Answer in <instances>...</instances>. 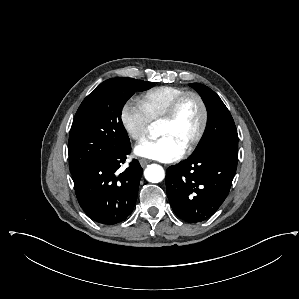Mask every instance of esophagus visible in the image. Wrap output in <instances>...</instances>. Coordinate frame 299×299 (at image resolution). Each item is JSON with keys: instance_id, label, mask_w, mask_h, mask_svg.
Instances as JSON below:
<instances>
[{"instance_id": "34e87169", "label": "esophagus", "mask_w": 299, "mask_h": 299, "mask_svg": "<svg viewBox=\"0 0 299 299\" xmlns=\"http://www.w3.org/2000/svg\"><path fill=\"white\" fill-rule=\"evenodd\" d=\"M139 163L144 168L147 164L150 163V160H148V159H140Z\"/></svg>"}]
</instances>
